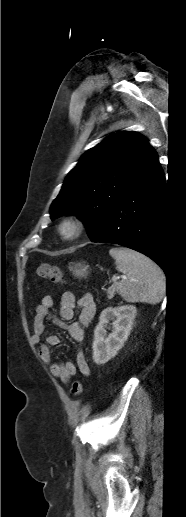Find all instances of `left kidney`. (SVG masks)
Returning <instances> with one entry per match:
<instances>
[{
  "label": "left kidney",
  "instance_id": "obj_1",
  "mask_svg": "<svg viewBox=\"0 0 186 517\" xmlns=\"http://www.w3.org/2000/svg\"><path fill=\"white\" fill-rule=\"evenodd\" d=\"M137 309L133 305L107 307L99 317V323L94 330L93 360L97 365L105 364L123 347L133 326ZM113 320L112 326L109 321ZM112 329L107 335L106 329Z\"/></svg>",
  "mask_w": 186,
  "mask_h": 517
}]
</instances>
